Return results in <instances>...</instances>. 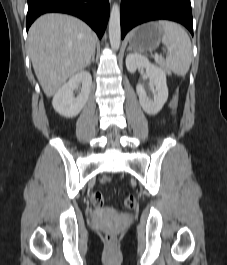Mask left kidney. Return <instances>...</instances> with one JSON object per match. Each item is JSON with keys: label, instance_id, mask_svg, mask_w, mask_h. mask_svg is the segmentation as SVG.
I'll return each instance as SVG.
<instances>
[{"label": "left kidney", "instance_id": "left-kidney-1", "mask_svg": "<svg viewBox=\"0 0 227 265\" xmlns=\"http://www.w3.org/2000/svg\"><path fill=\"white\" fill-rule=\"evenodd\" d=\"M126 67L130 73H135V71L140 68L146 69L147 76L155 85L156 94L153 99H149L146 91L140 84H137L136 92L143 110L149 115H156L160 112L168 99L165 71L162 68L151 64L147 57L137 53H130L127 55Z\"/></svg>", "mask_w": 227, "mask_h": 265}]
</instances>
